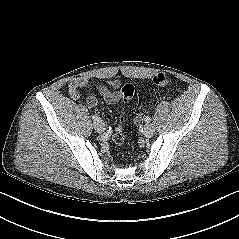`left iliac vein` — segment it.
Listing matches in <instances>:
<instances>
[{
	"mask_svg": "<svg viewBox=\"0 0 239 239\" xmlns=\"http://www.w3.org/2000/svg\"><path fill=\"white\" fill-rule=\"evenodd\" d=\"M154 131H155V129H154V126L152 124L148 123V124H146L144 126V134H145V136H147V137L152 136Z\"/></svg>",
	"mask_w": 239,
	"mask_h": 239,
	"instance_id": "4c4485c4",
	"label": "left iliac vein"
}]
</instances>
